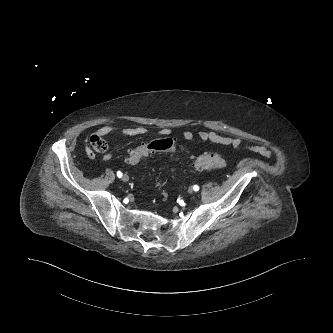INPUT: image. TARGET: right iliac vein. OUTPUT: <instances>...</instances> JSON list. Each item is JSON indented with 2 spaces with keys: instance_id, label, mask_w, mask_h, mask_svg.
<instances>
[{
  "instance_id": "obj_1",
  "label": "right iliac vein",
  "mask_w": 333,
  "mask_h": 333,
  "mask_svg": "<svg viewBox=\"0 0 333 333\" xmlns=\"http://www.w3.org/2000/svg\"><path fill=\"white\" fill-rule=\"evenodd\" d=\"M122 181H124V182H127V181H129V176L128 175H123L122 176Z\"/></svg>"
}]
</instances>
